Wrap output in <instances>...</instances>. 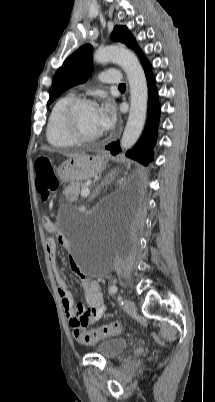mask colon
<instances>
[{
  "label": "colon",
  "instance_id": "1",
  "mask_svg": "<svg viewBox=\"0 0 215 402\" xmlns=\"http://www.w3.org/2000/svg\"><path fill=\"white\" fill-rule=\"evenodd\" d=\"M53 159L51 156H42L35 161V184L37 192L43 202L47 201L58 188V179L52 167ZM53 221L49 217L43 219L45 229L51 227ZM123 331V325L119 322H112L102 325L95 329L86 330L83 327L74 328L75 338L83 344H92L100 339L120 334Z\"/></svg>",
  "mask_w": 215,
  "mask_h": 402
}]
</instances>
